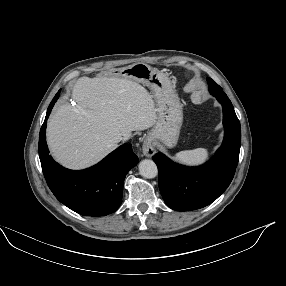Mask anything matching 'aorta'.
I'll return each mask as SVG.
<instances>
[{
	"label": "aorta",
	"instance_id": "obj_1",
	"mask_svg": "<svg viewBox=\"0 0 286 286\" xmlns=\"http://www.w3.org/2000/svg\"><path fill=\"white\" fill-rule=\"evenodd\" d=\"M139 173L141 176L151 179L157 176L158 169L152 160L145 159L139 163Z\"/></svg>",
	"mask_w": 286,
	"mask_h": 286
}]
</instances>
